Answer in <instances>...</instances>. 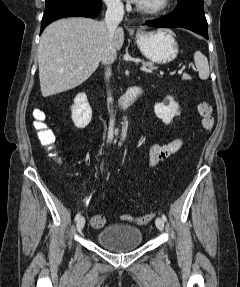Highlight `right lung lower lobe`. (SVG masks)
Returning <instances> with one entry per match:
<instances>
[{
    "instance_id": "obj_1",
    "label": "right lung lower lobe",
    "mask_w": 240,
    "mask_h": 287,
    "mask_svg": "<svg viewBox=\"0 0 240 287\" xmlns=\"http://www.w3.org/2000/svg\"><path fill=\"white\" fill-rule=\"evenodd\" d=\"M102 7L101 0H46L41 21V32L51 22L65 17H96Z\"/></svg>"
}]
</instances>
